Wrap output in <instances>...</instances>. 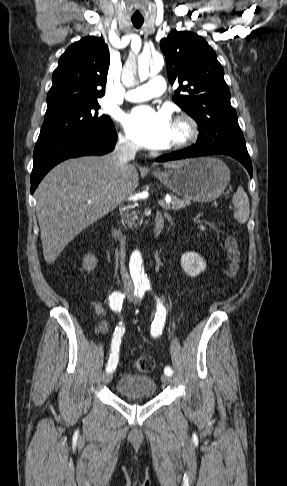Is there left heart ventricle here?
<instances>
[{
    "mask_svg": "<svg viewBox=\"0 0 287 486\" xmlns=\"http://www.w3.org/2000/svg\"><path fill=\"white\" fill-rule=\"evenodd\" d=\"M182 134H183V129L180 126L173 124L171 142L181 137Z\"/></svg>",
    "mask_w": 287,
    "mask_h": 486,
    "instance_id": "obj_1",
    "label": "left heart ventricle"
}]
</instances>
